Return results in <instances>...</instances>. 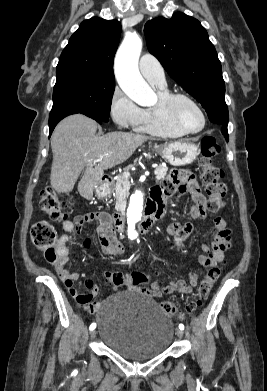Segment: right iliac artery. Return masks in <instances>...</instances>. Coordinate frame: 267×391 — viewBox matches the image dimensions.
I'll return each instance as SVG.
<instances>
[{
    "label": "right iliac artery",
    "instance_id": "obj_1",
    "mask_svg": "<svg viewBox=\"0 0 267 391\" xmlns=\"http://www.w3.org/2000/svg\"><path fill=\"white\" fill-rule=\"evenodd\" d=\"M96 328V324L95 323H92L91 325H90V330H94Z\"/></svg>",
    "mask_w": 267,
    "mask_h": 391
}]
</instances>
